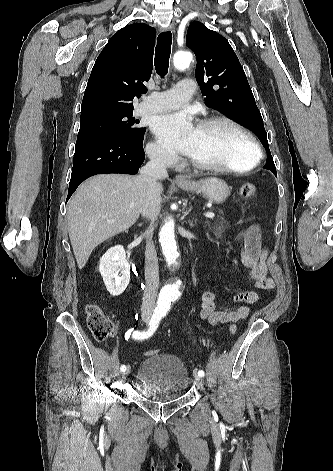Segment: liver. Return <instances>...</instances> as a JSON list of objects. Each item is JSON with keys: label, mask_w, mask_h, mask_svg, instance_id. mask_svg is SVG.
I'll list each match as a JSON object with an SVG mask.
<instances>
[{"label": "liver", "mask_w": 333, "mask_h": 471, "mask_svg": "<svg viewBox=\"0 0 333 471\" xmlns=\"http://www.w3.org/2000/svg\"><path fill=\"white\" fill-rule=\"evenodd\" d=\"M144 192L140 175H96L78 188L67 207V224L79 269L99 244L135 224ZM162 192L158 182L157 193Z\"/></svg>", "instance_id": "obj_1"}]
</instances>
